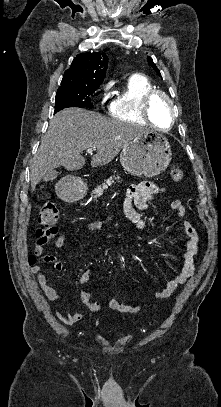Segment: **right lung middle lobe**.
Listing matches in <instances>:
<instances>
[{
    "label": "right lung middle lobe",
    "instance_id": "dd1d6c3e",
    "mask_svg": "<svg viewBox=\"0 0 221 407\" xmlns=\"http://www.w3.org/2000/svg\"><path fill=\"white\" fill-rule=\"evenodd\" d=\"M97 88H58L55 97V112L68 107L92 108L90 96Z\"/></svg>",
    "mask_w": 221,
    "mask_h": 407
}]
</instances>
